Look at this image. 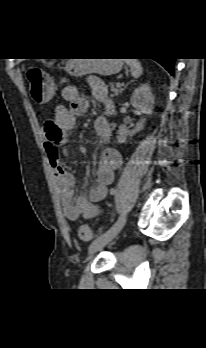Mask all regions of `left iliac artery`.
<instances>
[{
  "label": "left iliac artery",
  "instance_id": "44dca946",
  "mask_svg": "<svg viewBox=\"0 0 206 348\" xmlns=\"http://www.w3.org/2000/svg\"><path fill=\"white\" fill-rule=\"evenodd\" d=\"M111 194H117V189H112Z\"/></svg>",
  "mask_w": 206,
  "mask_h": 348
}]
</instances>
